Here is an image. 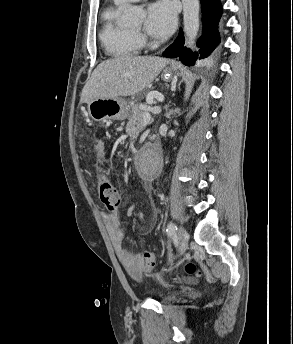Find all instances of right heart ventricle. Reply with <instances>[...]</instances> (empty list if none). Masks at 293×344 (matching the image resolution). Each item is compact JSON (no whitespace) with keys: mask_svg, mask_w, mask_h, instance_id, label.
<instances>
[{"mask_svg":"<svg viewBox=\"0 0 293 344\" xmlns=\"http://www.w3.org/2000/svg\"><path fill=\"white\" fill-rule=\"evenodd\" d=\"M123 4L113 2L101 14L100 40L105 51L114 57H134L139 55L142 44L131 30L118 23Z\"/></svg>","mask_w":293,"mask_h":344,"instance_id":"right-heart-ventricle-1","label":"right heart ventricle"}]
</instances>
